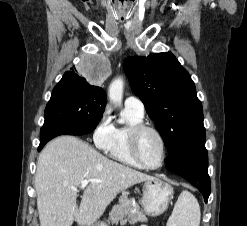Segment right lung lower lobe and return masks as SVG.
<instances>
[{"mask_svg":"<svg viewBox=\"0 0 247 226\" xmlns=\"http://www.w3.org/2000/svg\"><path fill=\"white\" fill-rule=\"evenodd\" d=\"M91 132L89 128H74L61 124L44 125L40 131V145L38 151L52 138L59 135H84Z\"/></svg>","mask_w":247,"mask_h":226,"instance_id":"obj_1","label":"right lung lower lobe"}]
</instances>
